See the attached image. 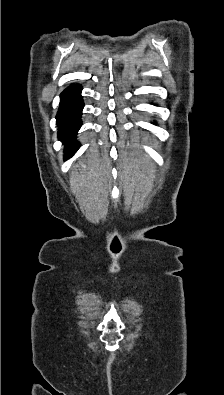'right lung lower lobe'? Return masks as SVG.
<instances>
[{"label": "right lung lower lobe", "instance_id": "right-lung-lower-lobe-1", "mask_svg": "<svg viewBox=\"0 0 224 395\" xmlns=\"http://www.w3.org/2000/svg\"><path fill=\"white\" fill-rule=\"evenodd\" d=\"M81 90L80 86L72 85L65 89L60 97L56 122L59 126V139L66 143V158L71 157L79 148L75 135L81 126L80 117L84 106L80 95Z\"/></svg>", "mask_w": 224, "mask_h": 395}]
</instances>
